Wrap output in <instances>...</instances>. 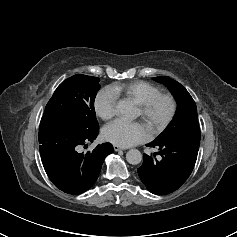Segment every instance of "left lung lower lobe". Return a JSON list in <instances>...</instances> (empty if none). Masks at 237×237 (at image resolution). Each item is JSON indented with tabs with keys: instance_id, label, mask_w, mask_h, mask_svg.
Segmentation results:
<instances>
[{
	"instance_id": "obj_1",
	"label": "left lung lower lobe",
	"mask_w": 237,
	"mask_h": 237,
	"mask_svg": "<svg viewBox=\"0 0 237 237\" xmlns=\"http://www.w3.org/2000/svg\"><path fill=\"white\" fill-rule=\"evenodd\" d=\"M200 141H152L148 147H158L160 159L144 154L138 174L147 189L157 195L177 190L190 176L199 150Z\"/></svg>"
}]
</instances>
